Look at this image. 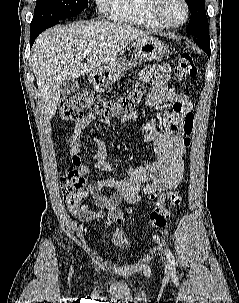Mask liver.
<instances>
[{"label": "liver", "mask_w": 239, "mask_h": 303, "mask_svg": "<svg viewBox=\"0 0 239 303\" xmlns=\"http://www.w3.org/2000/svg\"><path fill=\"white\" fill-rule=\"evenodd\" d=\"M148 35L125 23L107 21L54 26L39 35L31 62L48 117L51 119L56 113L64 80L114 61L130 42ZM86 51L90 53L84 56Z\"/></svg>", "instance_id": "1"}]
</instances>
